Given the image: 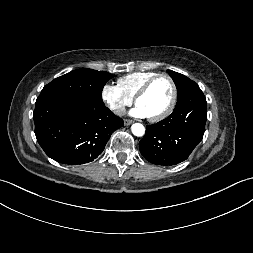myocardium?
<instances>
[{"instance_id": "1", "label": "myocardium", "mask_w": 253, "mask_h": 253, "mask_svg": "<svg viewBox=\"0 0 253 253\" xmlns=\"http://www.w3.org/2000/svg\"><path fill=\"white\" fill-rule=\"evenodd\" d=\"M160 78H166L170 85H171V89H172V96H171V100L170 103L168 105V107L159 115L157 116H153V117H148V120L150 122H159L164 120L165 118H167L174 110L176 103H177V98H178V90H177V86L175 81L173 80V78L166 74V73H161V74H157L154 77H152L151 79H149L140 89L139 91L136 93V95L134 96V103L137 105V101L143 97L147 91L149 90V88L152 86V84L157 81Z\"/></svg>"}]
</instances>
